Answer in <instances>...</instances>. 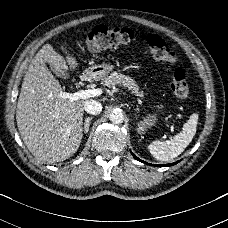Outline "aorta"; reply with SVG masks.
<instances>
[{
    "instance_id": "aorta-1",
    "label": "aorta",
    "mask_w": 228,
    "mask_h": 228,
    "mask_svg": "<svg viewBox=\"0 0 228 228\" xmlns=\"http://www.w3.org/2000/svg\"><path fill=\"white\" fill-rule=\"evenodd\" d=\"M109 119L114 124H121L124 121V113L121 110H113L109 115Z\"/></svg>"
}]
</instances>
